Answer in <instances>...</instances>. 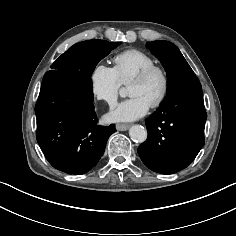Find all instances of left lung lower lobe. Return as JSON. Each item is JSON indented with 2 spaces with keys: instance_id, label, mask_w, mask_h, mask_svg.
I'll list each match as a JSON object with an SVG mask.
<instances>
[{
  "instance_id": "1",
  "label": "left lung lower lobe",
  "mask_w": 236,
  "mask_h": 236,
  "mask_svg": "<svg viewBox=\"0 0 236 236\" xmlns=\"http://www.w3.org/2000/svg\"><path fill=\"white\" fill-rule=\"evenodd\" d=\"M206 118L200 82L178 87L146 119L148 138L138 148L143 163L161 174L189 166L204 145Z\"/></svg>"
}]
</instances>
